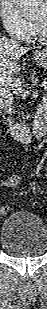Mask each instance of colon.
Listing matches in <instances>:
<instances>
[{"mask_svg": "<svg viewBox=\"0 0 47 309\" xmlns=\"http://www.w3.org/2000/svg\"><path fill=\"white\" fill-rule=\"evenodd\" d=\"M0 211H1V213H2L3 215H6V214L9 213L10 208H9L8 206H2L1 209H0Z\"/></svg>", "mask_w": 47, "mask_h": 309, "instance_id": "5ec220e1", "label": "colon"}]
</instances>
